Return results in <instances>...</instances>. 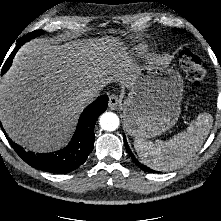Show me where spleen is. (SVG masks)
Masks as SVG:
<instances>
[{"instance_id":"1","label":"spleen","mask_w":221,"mask_h":221,"mask_svg":"<svg viewBox=\"0 0 221 221\" xmlns=\"http://www.w3.org/2000/svg\"><path fill=\"white\" fill-rule=\"evenodd\" d=\"M211 114H199L186 131L166 142L153 143L136 137L134 147L142 162L157 171H169L183 165L202 146L212 127Z\"/></svg>"}]
</instances>
